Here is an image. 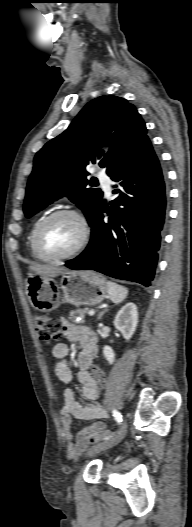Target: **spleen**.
Masks as SVG:
<instances>
[{"instance_id":"1","label":"spleen","mask_w":192,"mask_h":527,"mask_svg":"<svg viewBox=\"0 0 192 527\" xmlns=\"http://www.w3.org/2000/svg\"><path fill=\"white\" fill-rule=\"evenodd\" d=\"M107 292L113 303H121L128 295V289L112 281L106 282Z\"/></svg>"}]
</instances>
